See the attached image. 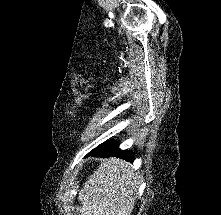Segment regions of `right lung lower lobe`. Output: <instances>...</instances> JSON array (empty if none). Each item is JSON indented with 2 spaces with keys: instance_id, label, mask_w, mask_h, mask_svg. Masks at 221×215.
Segmentation results:
<instances>
[{
  "instance_id": "98d812e1",
  "label": "right lung lower lobe",
  "mask_w": 221,
  "mask_h": 215,
  "mask_svg": "<svg viewBox=\"0 0 221 215\" xmlns=\"http://www.w3.org/2000/svg\"><path fill=\"white\" fill-rule=\"evenodd\" d=\"M88 155L95 157L115 156L133 162L132 154L127 150L123 151L118 149V144L114 141H109L99 145L97 148L93 149Z\"/></svg>"
}]
</instances>
